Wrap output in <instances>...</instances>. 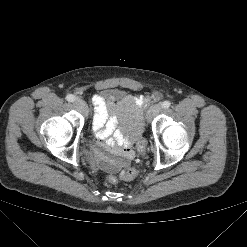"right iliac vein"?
<instances>
[{
	"mask_svg": "<svg viewBox=\"0 0 247 247\" xmlns=\"http://www.w3.org/2000/svg\"><path fill=\"white\" fill-rule=\"evenodd\" d=\"M73 104L83 114H87L88 113L87 104L82 99H80V98L75 99Z\"/></svg>",
	"mask_w": 247,
	"mask_h": 247,
	"instance_id": "63e3f726",
	"label": "right iliac vein"
}]
</instances>
